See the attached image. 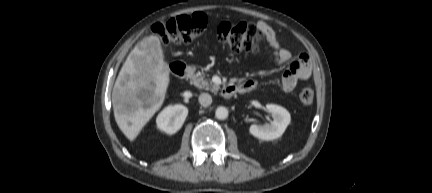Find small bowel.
<instances>
[{
    "label": "small bowel",
    "mask_w": 432,
    "mask_h": 193,
    "mask_svg": "<svg viewBox=\"0 0 432 193\" xmlns=\"http://www.w3.org/2000/svg\"><path fill=\"white\" fill-rule=\"evenodd\" d=\"M256 27L266 38L276 63L279 65L289 64L280 81V86L284 92L293 91L299 82L310 78L312 65L308 55L301 54L297 59L293 60L292 52L281 45L276 32L267 22L259 21ZM256 85V81L246 80L239 85L240 92H249Z\"/></svg>",
    "instance_id": "obj_1"
}]
</instances>
